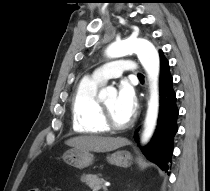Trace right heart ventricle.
I'll return each mask as SVG.
<instances>
[{"mask_svg":"<svg viewBox=\"0 0 210 191\" xmlns=\"http://www.w3.org/2000/svg\"><path fill=\"white\" fill-rule=\"evenodd\" d=\"M101 83L93 79H83L77 86L72 100L73 129L86 135L107 132L101 121L100 100L97 92Z\"/></svg>","mask_w":210,"mask_h":191,"instance_id":"obj_1","label":"right heart ventricle"}]
</instances>
